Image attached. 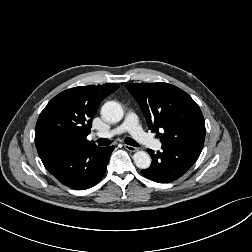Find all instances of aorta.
I'll use <instances>...</instances> for the list:
<instances>
[{
	"label": "aorta",
	"mask_w": 252,
	"mask_h": 252,
	"mask_svg": "<svg viewBox=\"0 0 252 252\" xmlns=\"http://www.w3.org/2000/svg\"><path fill=\"white\" fill-rule=\"evenodd\" d=\"M102 117L111 123H117L123 118V108L116 101H108L101 108ZM135 165L140 169H147L151 165V158L144 151H137L133 155Z\"/></svg>",
	"instance_id": "aorta-1"
}]
</instances>
